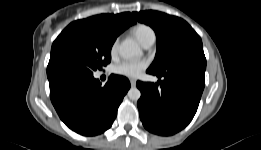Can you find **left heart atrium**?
<instances>
[{
	"label": "left heart atrium",
	"instance_id": "1",
	"mask_svg": "<svg viewBox=\"0 0 261 150\" xmlns=\"http://www.w3.org/2000/svg\"><path fill=\"white\" fill-rule=\"evenodd\" d=\"M148 63L145 60H127L123 61L115 66V72L117 74L136 78L147 68Z\"/></svg>",
	"mask_w": 261,
	"mask_h": 150
}]
</instances>
